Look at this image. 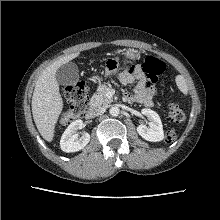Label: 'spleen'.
<instances>
[{
  "instance_id": "1",
  "label": "spleen",
  "mask_w": 220,
  "mask_h": 220,
  "mask_svg": "<svg viewBox=\"0 0 220 220\" xmlns=\"http://www.w3.org/2000/svg\"><path fill=\"white\" fill-rule=\"evenodd\" d=\"M176 84H177L178 88L180 89V91H181L183 94L187 95V93H188V87H187V84H186L185 79H184L181 75H178V76L176 77Z\"/></svg>"
}]
</instances>
